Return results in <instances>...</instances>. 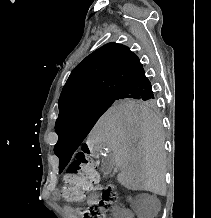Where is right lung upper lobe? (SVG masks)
<instances>
[{
    "mask_svg": "<svg viewBox=\"0 0 211 218\" xmlns=\"http://www.w3.org/2000/svg\"><path fill=\"white\" fill-rule=\"evenodd\" d=\"M141 68L139 58L128 47L116 43L102 46L70 74L58 101L59 114L92 98L118 96Z\"/></svg>",
    "mask_w": 211,
    "mask_h": 218,
    "instance_id": "obj_1",
    "label": "right lung upper lobe"
}]
</instances>
